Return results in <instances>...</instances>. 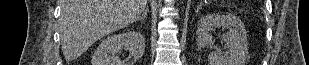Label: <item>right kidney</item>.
I'll return each instance as SVG.
<instances>
[{
	"instance_id": "right-kidney-1",
	"label": "right kidney",
	"mask_w": 309,
	"mask_h": 65,
	"mask_svg": "<svg viewBox=\"0 0 309 65\" xmlns=\"http://www.w3.org/2000/svg\"><path fill=\"white\" fill-rule=\"evenodd\" d=\"M124 47L133 57V60L128 63L122 62L117 56V53ZM144 51V36L140 32L128 30L103 39L93 55L92 65H133L143 56Z\"/></svg>"
}]
</instances>
